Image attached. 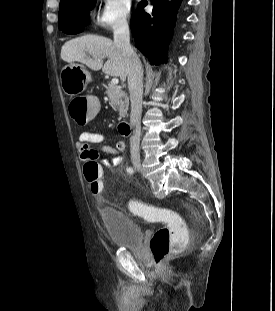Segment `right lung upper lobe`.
I'll use <instances>...</instances> for the list:
<instances>
[{
	"mask_svg": "<svg viewBox=\"0 0 275 311\" xmlns=\"http://www.w3.org/2000/svg\"><path fill=\"white\" fill-rule=\"evenodd\" d=\"M64 1H67V0H60V4H61L62 2H64Z\"/></svg>",
	"mask_w": 275,
	"mask_h": 311,
	"instance_id": "obj_1",
	"label": "right lung upper lobe"
}]
</instances>
